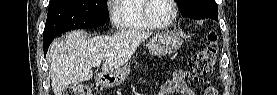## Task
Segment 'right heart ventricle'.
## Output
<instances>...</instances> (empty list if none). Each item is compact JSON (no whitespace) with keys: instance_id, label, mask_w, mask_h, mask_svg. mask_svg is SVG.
<instances>
[{"instance_id":"e07e8e85","label":"right heart ventricle","mask_w":277,"mask_h":95,"mask_svg":"<svg viewBox=\"0 0 277 95\" xmlns=\"http://www.w3.org/2000/svg\"><path fill=\"white\" fill-rule=\"evenodd\" d=\"M146 0H117L115 25L119 30L134 31L151 28L144 17Z\"/></svg>"}]
</instances>
